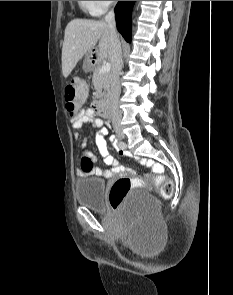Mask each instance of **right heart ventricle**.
Wrapping results in <instances>:
<instances>
[{
    "mask_svg": "<svg viewBox=\"0 0 233 295\" xmlns=\"http://www.w3.org/2000/svg\"><path fill=\"white\" fill-rule=\"evenodd\" d=\"M79 7L86 13L91 15H97L93 9L90 1H77Z\"/></svg>",
    "mask_w": 233,
    "mask_h": 295,
    "instance_id": "e07e8e85",
    "label": "right heart ventricle"
}]
</instances>
